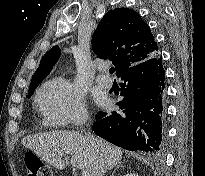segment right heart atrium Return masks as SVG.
Wrapping results in <instances>:
<instances>
[{
	"label": "right heart atrium",
	"mask_w": 205,
	"mask_h": 176,
	"mask_svg": "<svg viewBox=\"0 0 205 176\" xmlns=\"http://www.w3.org/2000/svg\"><path fill=\"white\" fill-rule=\"evenodd\" d=\"M35 101L43 122L53 128L80 124L87 116L83 93L60 78L45 82L37 91Z\"/></svg>",
	"instance_id": "obj_1"
}]
</instances>
